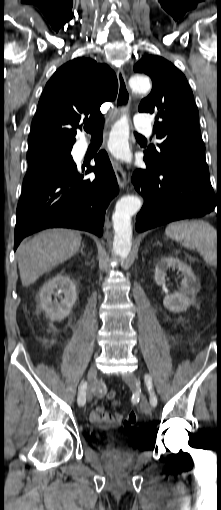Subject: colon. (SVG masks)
I'll return each mask as SVG.
<instances>
[{
    "instance_id": "5ec220e1",
    "label": "colon",
    "mask_w": 221,
    "mask_h": 510,
    "mask_svg": "<svg viewBox=\"0 0 221 510\" xmlns=\"http://www.w3.org/2000/svg\"><path fill=\"white\" fill-rule=\"evenodd\" d=\"M115 396H116L115 391H110V392L108 393V398H109L110 400H114V399H115ZM115 404L117 405V404H118V402H117V401H115ZM136 422H137V414H136L134 411H130V412L127 414V416H126V418H125V420H124V425H125L126 427H131V426L135 425V424H136Z\"/></svg>"
}]
</instances>
